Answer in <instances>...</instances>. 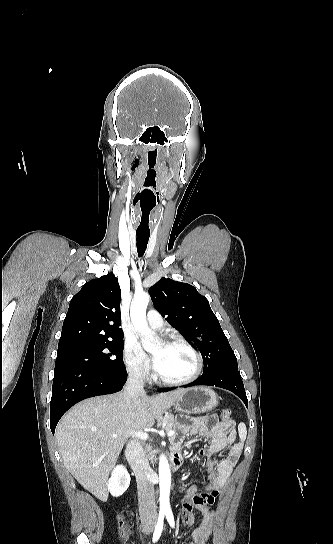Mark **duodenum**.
<instances>
[{
    "mask_svg": "<svg viewBox=\"0 0 333 544\" xmlns=\"http://www.w3.org/2000/svg\"><path fill=\"white\" fill-rule=\"evenodd\" d=\"M125 460L130 468L133 470L137 479L141 480L144 477V471L140 463L138 462L136 455V448L134 446H128L125 449ZM182 463V456L179 452L173 451L169 456L170 468L175 471Z\"/></svg>",
    "mask_w": 333,
    "mask_h": 544,
    "instance_id": "410a0bca",
    "label": "duodenum"
}]
</instances>
